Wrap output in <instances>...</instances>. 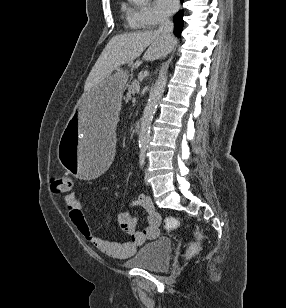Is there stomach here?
<instances>
[{"mask_svg":"<svg viewBox=\"0 0 286 308\" xmlns=\"http://www.w3.org/2000/svg\"><path fill=\"white\" fill-rule=\"evenodd\" d=\"M129 72L119 69L116 74L85 93L80 106L74 107L75 118H65L67 130L58 137L56 149L60 164L80 177L81 182H96L103 168H110L117 115Z\"/></svg>","mask_w":286,"mask_h":308,"instance_id":"obj_1","label":"stomach"}]
</instances>
